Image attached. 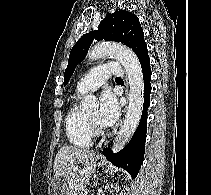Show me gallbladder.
<instances>
[{
    "instance_id": "bac80fb5",
    "label": "gallbladder",
    "mask_w": 211,
    "mask_h": 195,
    "mask_svg": "<svg viewBox=\"0 0 211 195\" xmlns=\"http://www.w3.org/2000/svg\"><path fill=\"white\" fill-rule=\"evenodd\" d=\"M53 182H54V181H53ZM51 189H52L53 195H56L57 190H56V188L54 187V183H53Z\"/></svg>"
}]
</instances>
